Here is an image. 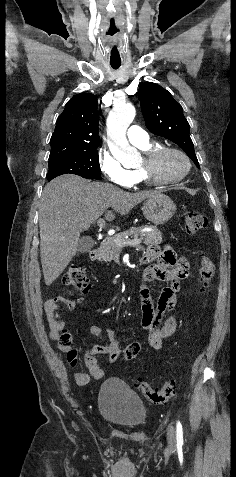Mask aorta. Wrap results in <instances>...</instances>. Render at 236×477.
Segmentation results:
<instances>
[{"mask_svg":"<svg viewBox=\"0 0 236 477\" xmlns=\"http://www.w3.org/2000/svg\"><path fill=\"white\" fill-rule=\"evenodd\" d=\"M136 111L131 104L114 106L107 119V140L113 155L122 163L135 160L139 153L130 146L126 131L134 120Z\"/></svg>","mask_w":236,"mask_h":477,"instance_id":"obj_1","label":"aorta"}]
</instances>
